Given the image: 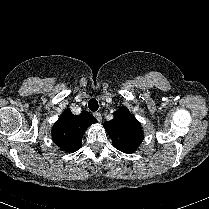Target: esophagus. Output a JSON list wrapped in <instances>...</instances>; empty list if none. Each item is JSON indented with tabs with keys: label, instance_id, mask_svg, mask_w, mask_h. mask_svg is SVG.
Returning <instances> with one entry per match:
<instances>
[{
	"label": "esophagus",
	"instance_id": "34e87169",
	"mask_svg": "<svg viewBox=\"0 0 209 209\" xmlns=\"http://www.w3.org/2000/svg\"><path fill=\"white\" fill-rule=\"evenodd\" d=\"M94 116L95 118L97 119L98 122H101L102 121V116H101V113H94Z\"/></svg>",
	"mask_w": 209,
	"mask_h": 209
}]
</instances>
